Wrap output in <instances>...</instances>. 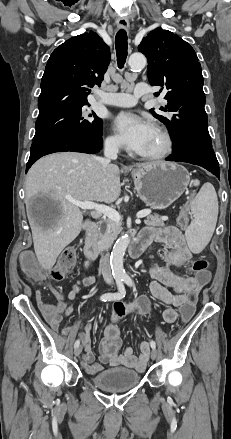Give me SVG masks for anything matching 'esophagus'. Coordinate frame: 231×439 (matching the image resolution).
I'll list each match as a JSON object with an SVG mask.
<instances>
[{
	"label": "esophagus",
	"mask_w": 231,
	"mask_h": 439,
	"mask_svg": "<svg viewBox=\"0 0 231 439\" xmlns=\"http://www.w3.org/2000/svg\"><path fill=\"white\" fill-rule=\"evenodd\" d=\"M116 23L120 29H124L125 31L129 30V20L126 17H119Z\"/></svg>",
	"instance_id": "34e87169"
}]
</instances>
